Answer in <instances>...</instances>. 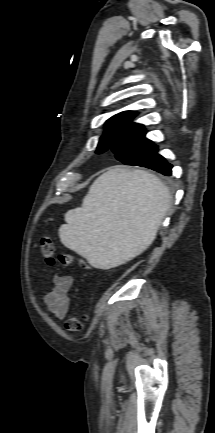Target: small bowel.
I'll use <instances>...</instances> for the list:
<instances>
[{"label": "small bowel", "mask_w": 215, "mask_h": 433, "mask_svg": "<svg viewBox=\"0 0 215 433\" xmlns=\"http://www.w3.org/2000/svg\"><path fill=\"white\" fill-rule=\"evenodd\" d=\"M73 285V277L66 274H55L53 286L45 295L44 302L54 318L61 320L68 313L70 299L68 293Z\"/></svg>", "instance_id": "obj_1"}]
</instances>
